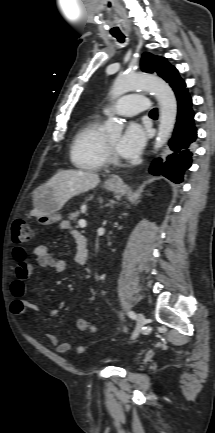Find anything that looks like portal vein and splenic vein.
Wrapping results in <instances>:
<instances>
[{
  "label": "portal vein and splenic vein",
  "mask_w": 215,
  "mask_h": 433,
  "mask_svg": "<svg viewBox=\"0 0 215 433\" xmlns=\"http://www.w3.org/2000/svg\"><path fill=\"white\" fill-rule=\"evenodd\" d=\"M78 224H79V226L81 228H85L86 227V221L84 219L79 220Z\"/></svg>",
  "instance_id": "portal-vein-and-splenic-vein-1"
}]
</instances>
